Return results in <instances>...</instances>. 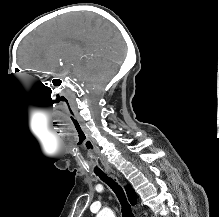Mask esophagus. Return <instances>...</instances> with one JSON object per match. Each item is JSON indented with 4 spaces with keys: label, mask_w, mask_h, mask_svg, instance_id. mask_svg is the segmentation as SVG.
<instances>
[{
    "label": "esophagus",
    "mask_w": 219,
    "mask_h": 217,
    "mask_svg": "<svg viewBox=\"0 0 219 217\" xmlns=\"http://www.w3.org/2000/svg\"><path fill=\"white\" fill-rule=\"evenodd\" d=\"M109 172H110V173H113V174H116V172L113 171L112 169H110ZM116 175H117L118 177H120L119 174H116Z\"/></svg>",
    "instance_id": "34e87169"
}]
</instances>
